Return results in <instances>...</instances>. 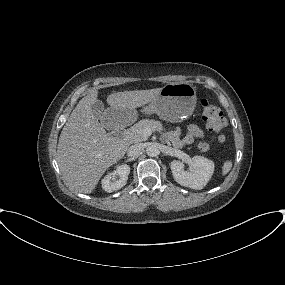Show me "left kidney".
Masks as SVG:
<instances>
[{"mask_svg": "<svg viewBox=\"0 0 285 285\" xmlns=\"http://www.w3.org/2000/svg\"><path fill=\"white\" fill-rule=\"evenodd\" d=\"M190 163L192 166L191 171H185L182 162L177 160L171 162L170 168L174 180L180 185L191 189H203L214 173V162L203 156H194Z\"/></svg>", "mask_w": 285, "mask_h": 285, "instance_id": "obj_1", "label": "left kidney"}]
</instances>
